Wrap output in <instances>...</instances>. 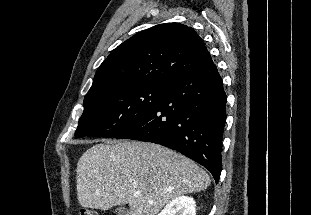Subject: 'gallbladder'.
<instances>
[{"label": "gallbladder", "instance_id": "1", "mask_svg": "<svg viewBox=\"0 0 311 215\" xmlns=\"http://www.w3.org/2000/svg\"><path fill=\"white\" fill-rule=\"evenodd\" d=\"M115 212L117 215H129V211L125 207H119L115 210Z\"/></svg>", "mask_w": 311, "mask_h": 215}]
</instances>
